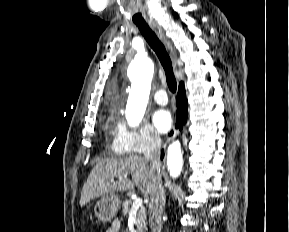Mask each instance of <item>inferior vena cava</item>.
Instances as JSON below:
<instances>
[{
    "instance_id": "inferior-vena-cava-1",
    "label": "inferior vena cava",
    "mask_w": 289,
    "mask_h": 232,
    "mask_svg": "<svg viewBox=\"0 0 289 232\" xmlns=\"http://www.w3.org/2000/svg\"><path fill=\"white\" fill-rule=\"evenodd\" d=\"M160 151L161 138L159 135L155 134L151 137L149 147L145 153V159L149 161L153 167H161ZM165 201V190L162 185L161 177H159L154 190L150 194L149 224L152 232H161L162 230L161 215L164 210Z\"/></svg>"
}]
</instances>
